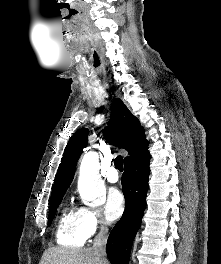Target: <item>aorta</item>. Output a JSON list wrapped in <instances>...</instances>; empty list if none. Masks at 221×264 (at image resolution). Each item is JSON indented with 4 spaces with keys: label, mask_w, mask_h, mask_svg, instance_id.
<instances>
[{
    "label": "aorta",
    "mask_w": 221,
    "mask_h": 264,
    "mask_svg": "<svg viewBox=\"0 0 221 264\" xmlns=\"http://www.w3.org/2000/svg\"><path fill=\"white\" fill-rule=\"evenodd\" d=\"M78 190L85 202H96L104 195L105 186L99 174V158L94 152L86 153L80 164Z\"/></svg>",
    "instance_id": "aorta-1"
}]
</instances>
